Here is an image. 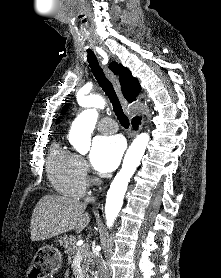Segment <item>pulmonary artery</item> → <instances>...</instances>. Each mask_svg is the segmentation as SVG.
I'll use <instances>...</instances> for the list:
<instances>
[{
	"mask_svg": "<svg viewBox=\"0 0 221 278\" xmlns=\"http://www.w3.org/2000/svg\"><path fill=\"white\" fill-rule=\"evenodd\" d=\"M98 129L102 133H113L117 131V125L112 119L104 118L99 122Z\"/></svg>",
	"mask_w": 221,
	"mask_h": 278,
	"instance_id": "1",
	"label": "pulmonary artery"
}]
</instances>
